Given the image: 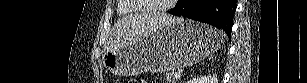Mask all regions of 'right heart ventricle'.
<instances>
[{"label": "right heart ventricle", "instance_id": "right-heart-ventricle-1", "mask_svg": "<svg viewBox=\"0 0 307 83\" xmlns=\"http://www.w3.org/2000/svg\"><path fill=\"white\" fill-rule=\"evenodd\" d=\"M118 12L120 14H130L140 12L130 1H120Z\"/></svg>", "mask_w": 307, "mask_h": 83}]
</instances>
